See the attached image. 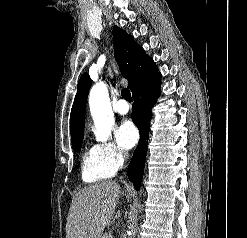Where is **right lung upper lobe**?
Here are the masks:
<instances>
[{
    "mask_svg": "<svg viewBox=\"0 0 247 238\" xmlns=\"http://www.w3.org/2000/svg\"><path fill=\"white\" fill-rule=\"evenodd\" d=\"M113 40L115 59L122 75L128 80V88L133 94L150 81L158 73V69L144 49L121 28L114 26ZM90 86L91 79L87 73H84L79 80L70 115L72 143L83 139L85 107Z\"/></svg>",
    "mask_w": 247,
    "mask_h": 238,
    "instance_id": "cb5924a9",
    "label": "right lung upper lobe"
}]
</instances>
